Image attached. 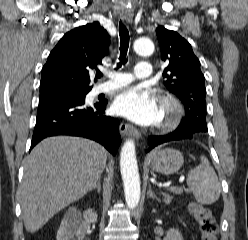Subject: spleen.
<instances>
[{
    "label": "spleen",
    "instance_id": "spleen-1",
    "mask_svg": "<svg viewBox=\"0 0 248 240\" xmlns=\"http://www.w3.org/2000/svg\"><path fill=\"white\" fill-rule=\"evenodd\" d=\"M201 163L191 169L187 176V185L193 192L197 202L212 204L218 200L221 186L214 169L210 166L206 157H200Z\"/></svg>",
    "mask_w": 248,
    "mask_h": 240
}]
</instances>
